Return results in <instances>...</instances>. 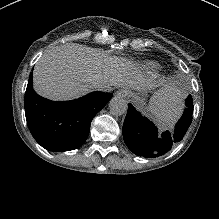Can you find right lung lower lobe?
<instances>
[{
	"label": "right lung lower lobe",
	"instance_id": "obj_1",
	"mask_svg": "<svg viewBox=\"0 0 219 219\" xmlns=\"http://www.w3.org/2000/svg\"><path fill=\"white\" fill-rule=\"evenodd\" d=\"M111 97V93L98 91L72 101H51L35 93L31 73L25 93L27 125L44 148L72 150L84 143L93 117Z\"/></svg>",
	"mask_w": 219,
	"mask_h": 219
}]
</instances>
